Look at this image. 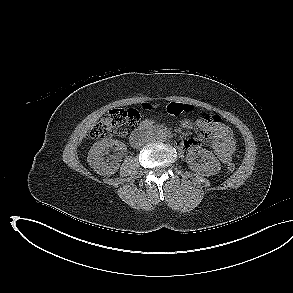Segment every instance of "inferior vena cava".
<instances>
[{"mask_svg":"<svg viewBox=\"0 0 293 293\" xmlns=\"http://www.w3.org/2000/svg\"><path fill=\"white\" fill-rule=\"evenodd\" d=\"M147 141H149V140H144V142H147Z\"/></svg>","mask_w":293,"mask_h":293,"instance_id":"602c4592","label":"inferior vena cava"}]
</instances>
